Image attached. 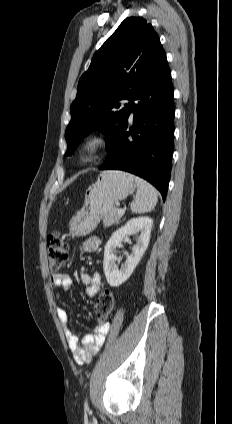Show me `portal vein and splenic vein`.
<instances>
[{
    "instance_id": "portal-vein-and-splenic-vein-1",
    "label": "portal vein and splenic vein",
    "mask_w": 232,
    "mask_h": 424,
    "mask_svg": "<svg viewBox=\"0 0 232 424\" xmlns=\"http://www.w3.org/2000/svg\"><path fill=\"white\" fill-rule=\"evenodd\" d=\"M124 213H125V210L124 209H118V214L124 215Z\"/></svg>"
}]
</instances>
